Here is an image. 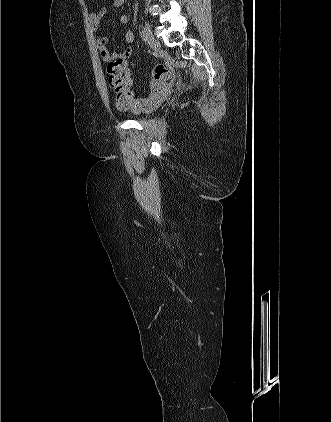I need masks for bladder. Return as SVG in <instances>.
Listing matches in <instances>:
<instances>
[{
  "mask_svg": "<svg viewBox=\"0 0 331 422\" xmlns=\"http://www.w3.org/2000/svg\"><path fill=\"white\" fill-rule=\"evenodd\" d=\"M155 109H156V107L153 108V109H151V110H149V111L143 112L142 113V116L139 119H143L145 116L150 115Z\"/></svg>",
  "mask_w": 331,
  "mask_h": 422,
  "instance_id": "obj_1",
  "label": "bladder"
}]
</instances>
